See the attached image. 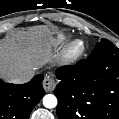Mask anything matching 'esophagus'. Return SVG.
Returning a JSON list of instances; mask_svg holds the SVG:
<instances>
[{
    "instance_id": "34e87169",
    "label": "esophagus",
    "mask_w": 119,
    "mask_h": 119,
    "mask_svg": "<svg viewBox=\"0 0 119 119\" xmlns=\"http://www.w3.org/2000/svg\"><path fill=\"white\" fill-rule=\"evenodd\" d=\"M43 87L47 92H52L56 87V81L52 74H46L43 80Z\"/></svg>"
}]
</instances>
